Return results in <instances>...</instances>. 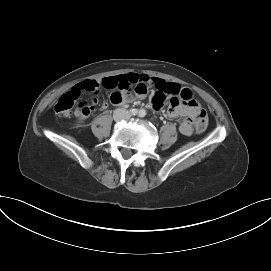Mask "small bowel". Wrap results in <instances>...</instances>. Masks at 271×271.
<instances>
[{
    "mask_svg": "<svg viewBox=\"0 0 271 271\" xmlns=\"http://www.w3.org/2000/svg\"><path fill=\"white\" fill-rule=\"evenodd\" d=\"M93 86V90H97L100 86L111 89L110 100L114 104L123 105L130 102L133 97L143 98L146 96L147 91H151L152 87L156 89V94L153 96L150 106L154 110H160L163 104L166 102V95L179 94L187 95L191 99L192 94L189 89L181 88L177 83L167 82L163 79L151 77L141 73H124L112 77H106L101 80H89L84 81L75 86L81 90H88V86ZM131 94L129 93L130 87ZM98 104V99H92V106ZM166 105L168 107L167 114L171 118H181L180 132L183 135H190L193 132V121L197 112L201 109V106L195 101H181L176 97H171L167 100ZM103 108L107 107V103L104 102ZM92 107L81 104L76 111V115L79 117H85L89 114Z\"/></svg>",
    "mask_w": 271,
    "mask_h": 271,
    "instance_id": "small-bowel-1",
    "label": "small bowel"
}]
</instances>
